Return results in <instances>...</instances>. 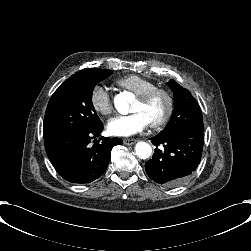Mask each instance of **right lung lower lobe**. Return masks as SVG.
Instances as JSON below:
<instances>
[{"instance_id": "1", "label": "right lung lower lobe", "mask_w": 251, "mask_h": 251, "mask_svg": "<svg viewBox=\"0 0 251 251\" xmlns=\"http://www.w3.org/2000/svg\"><path fill=\"white\" fill-rule=\"evenodd\" d=\"M101 128L72 130L44 140L50 162L56 171L67 181L86 184L100 177L107 169L111 149L121 145L120 138L101 137L93 145L91 140L100 136Z\"/></svg>"}]
</instances>
